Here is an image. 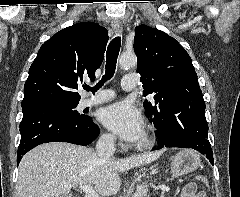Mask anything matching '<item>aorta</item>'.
Here are the masks:
<instances>
[{
  "instance_id": "obj_1",
  "label": "aorta",
  "mask_w": 240,
  "mask_h": 197,
  "mask_svg": "<svg viewBox=\"0 0 240 197\" xmlns=\"http://www.w3.org/2000/svg\"><path fill=\"white\" fill-rule=\"evenodd\" d=\"M137 58L134 54L123 53L119 59V64L122 68H130L135 66Z\"/></svg>"
}]
</instances>
